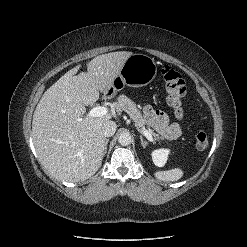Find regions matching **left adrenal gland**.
<instances>
[{
    "label": "left adrenal gland",
    "instance_id": "left-adrenal-gland-1",
    "mask_svg": "<svg viewBox=\"0 0 247 247\" xmlns=\"http://www.w3.org/2000/svg\"><path fill=\"white\" fill-rule=\"evenodd\" d=\"M140 141H141L142 147H143V148H146V146H147V141L144 140L142 136H140Z\"/></svg>",
    "mask_w": 247,
    "mask_h": 247
}]
</instances>
